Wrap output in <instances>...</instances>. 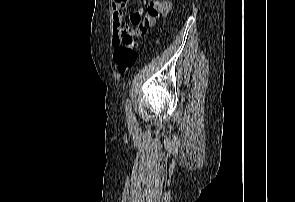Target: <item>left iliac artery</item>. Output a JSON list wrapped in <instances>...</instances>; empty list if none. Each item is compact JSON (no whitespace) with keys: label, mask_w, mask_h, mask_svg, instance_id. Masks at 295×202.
I'll list each match as a JSON object with an SVG mask.
<instances>
[{"label":"left iliac artery","mask_w":295,"mask_h":202,"mask_svg":"<svg viewBox=\"0 0 295 202\" xmlns=\"http://www.w3.org/2000/svg\"><path fill=\"white\" fill-rule=\"evenodd\" d=\"M125 111H126V118L128 120H133L134 116L132 113L131 102L129 98L126 100V103H125Z\"/></svg>","instance_id":"obj_1"}]
</instances>
